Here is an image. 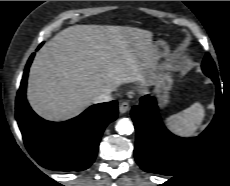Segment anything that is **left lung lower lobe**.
<instances>
[{"label": "left lung lower lobe", "instance_id": "1", "mask_svg": "<svg viewBox=\"0 0 230 186\" xmlns=\"http://www.w3.org/2000/svg\"><path fill=\"white\" fill-rule=\"evenodd\" d=\"M212 80L217 88L216 115L206 130L195 138H181L169 132L159 116L154 97L144 96L140 104L132 108L136 129L135 158L144 171L173 175L207 144L223 103L218 76Z\"/></svg>", "mask_w": 230, "mask_h": 186}]
</instances>
